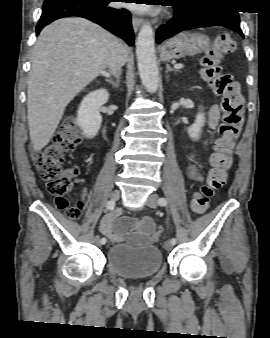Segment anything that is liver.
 <instances>
[{"instance_id": "liver-1", "label": "liver", "mask_w": 270, "mask_h": 338, "mask_svg": "<svg viewBox=\"0 0 270 338\" xmlns=\"http://www.w3.org/2000/svg\"><path fill=\"white\" fill-rule=\"evenodd\" d=\"M121 43L83 18L59 19L46 26L34 45L28 80V125L35 151L51 140L66 106L104 73L112 48Z\"/></svg>"}]
</instances>
